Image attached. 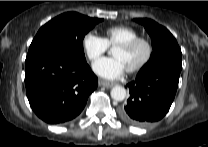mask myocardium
Returning <instances> with one entry per match:
<instances>
[{"label":"myocardium","instance_id":"1","mask_svg":"<svg viewBox=\"0 0 208 147\" xmlns=\"http://www.w3.org/2000/svg\"><path fill=\"white\" fill-rule=\"evenodd\" d=\"M139 44H143L146 47V54L144 58L137 65L127 69V71L130 73L140 71L150 62L154 52L153 44L148 38L138 36L136 38L122 42L117 45V47L129 50L136 47Z\"/></svg>","mask_w":208,"mask_h":147}]
</instances>
